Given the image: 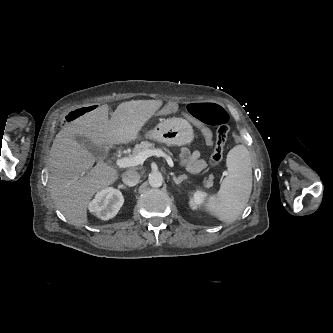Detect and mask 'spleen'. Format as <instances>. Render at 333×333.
Instances as JSON below:
<instances>
[{
    "label": "spleen",
    "mask_w": 333,
    "mask_h": 333,
    "mask_svg": "<svg viewBox=\"0 0 333 333\" xmlns=\"http://www.w3.org/2000/svg\"><path fill=\"white\" fill-rule=\"evenodd\" d=\"M227 176L216 195L208 198L205 210L221 221H235L245 209L252 190L250 152L244 145L232 148L226 159Z\"/></svg>",
    "instance_id": "1"
}]
</instances>
